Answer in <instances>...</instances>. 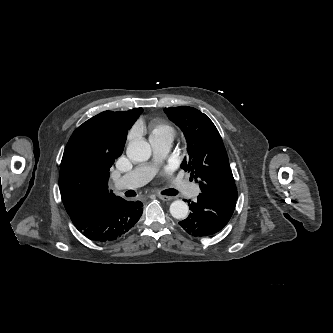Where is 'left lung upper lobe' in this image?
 Instances as JSON below:
<instances>
[{"label":"left lung upper lobe","instance_id":"left-lung-upper-lobe-1","mask_svg":"<svg viewBox=\"0 0 333 333\" xmlns=\"http://www.w3.org/2000/svg\"><path fill=\"white\" fill-rule=\"evenodd\" d=\"M164 112L186 137L188 157L180 167L199 183L201 194L218 201H236L237 188L227 152L213 122L188 106L165 108Z\"/></svg>","mask_w":333,"mask_h":333}]
</instances>
